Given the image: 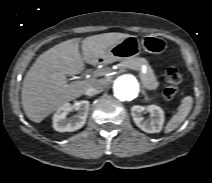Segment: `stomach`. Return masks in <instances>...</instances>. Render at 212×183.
<instances>
[{"instance_id":"obj_1","label":"stomach","mask_w":212,"mask_h":183,"mask_svg":"<svg viewBox=\"0 0 212 183\" xmlns=\"http://www.w3.org/2000/svg\"><path fill=\"white\" fill-rule=\"evenodd\" d=\"M167 48L168 42L156 34L144 35L140 40L128 36L107 50L105 61H124L137 56L141 49L151 54H162Z\"/></svg>"}]
</instances>
